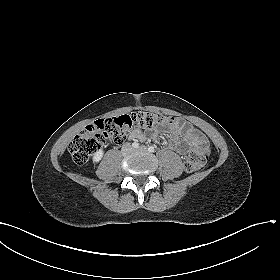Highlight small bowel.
I'll return each mask as SVG.
<instances>
[{
    "label": "small bowel",
    "instance_id": "1",
    "mask_svg": "<svg viewBox=\"0 0 280 280\" xmlns=\"http://www.w3.org/2000/svg\"><path fill=\"white\" fill-rule=\"evenodd\" d=\"M172 130L177 138H181V141L174 142V149L181 154H185L191 145H208L206 137L201 132L181 119H176L173 123ZM130 137L132 140H143L146 135L141 130L135 129L131 132Z\"/></svg>",
    "mask_w": 280,
    "mask_h": 280
}]
</instances>
